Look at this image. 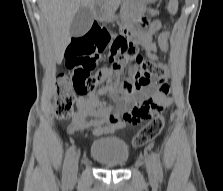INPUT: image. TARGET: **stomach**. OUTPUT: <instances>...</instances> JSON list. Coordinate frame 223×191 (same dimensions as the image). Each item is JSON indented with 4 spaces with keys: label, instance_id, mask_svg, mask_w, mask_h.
Masks as SVG:
<instances>
[{
    "label": "stomach",
    "instance_id": "1",
    "mask_svg": "<svg viewBox=\"0 0 223 191\" xmlns=\"http://www.w3.org/2000/svg\"><path fill=\"white\" fill-rule=\"evenodd\" d=\"M151 1H155V0H151ZM103 18L107 21H113V20L117 19V17L114 16L113 14H104Z\"/></svg>",
    "mask_w": 223,
    "mask_h": 191
}]
</instances>
